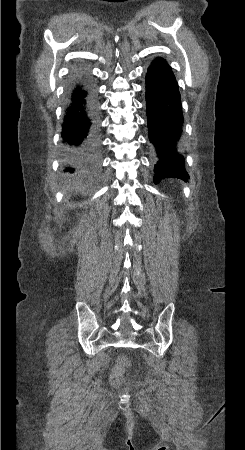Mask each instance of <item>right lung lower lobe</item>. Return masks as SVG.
I'll return each instance as SVG.
<instances>
[{
  "label": "right lung lower lobe",
  "mask_w": 245,
  "mask_h": 450,
  "mask_svg": "<svg viewBox=\"0 0 245 450\" xmlns=\"http://www.w3.org/2000/svg\"><path fill=\"white\" fill-rule=\"evenodd\" d=\"M62 138L65 172L89 175L99 169L97 104L93 88L77 77L69 89Z\"/></svg>",
  "instance_id": "98d812e1"
}]
</instances>
